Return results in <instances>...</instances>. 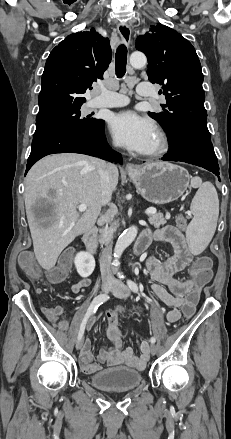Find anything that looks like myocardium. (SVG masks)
Segmentation results:
<instances>
[{
    "label": "myocardium",
    "mask_w": 231,
    "mask_h": 439,
    "mask_svg": "<svg viewBox=\"0 0 231 439\" xmlns=\"http://www.w3.org/2000/svg\"><path fill=\"white\" fill-rule=\"evenodd\" d=\"M158 142L156 147L143 153L147 157H158L167 152L169 148V139L167 134L160 128L156 129Z\"/></svg>",
    "instance_id": "myocardium-1"
}]
</instances>
